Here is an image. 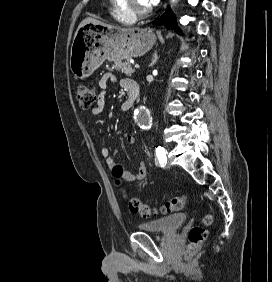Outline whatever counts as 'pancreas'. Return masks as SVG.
I'll return each instance as SVG.
<instances>
[{
  "mask_svg": "<svg viewBox=\"0 0 272 282\" xmlns=\"http://www.w3.org/2000/svg\"><path fill=\"white\" fill-rule=\"evenodd\" d=\"M113 68L119 71L120 73H124L128 76H131L135 72V69L132 68L131 63L129 61H118L113 65Z\"/></svg>",
  "mask_w": 272,
  "mask_h": 282,
  "instance_id": "obj_1",
  "label": "pancreas"
}]
</instances>
